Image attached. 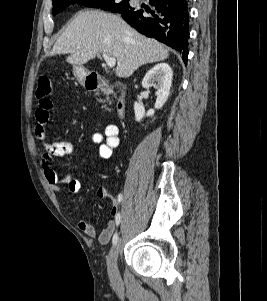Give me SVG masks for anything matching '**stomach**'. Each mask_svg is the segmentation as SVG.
Segmentation results:
<instances>
[{
    "label": "stomach",
    "instance_id": "1",
    "mask_svg": "<svg viewBox=\"0 0 267 301\" xmlns=\"http://www.w3.org/2000/svg\"><path fill=\"white\" fill-rule=\"evenodd\" d=\"M73 72H74V75L76 77V79L81 83L83 84L86 80V71L84 68L82 67H77L75 66L74 69H73Z\"/></svg>",
    "mask_w": 267,
    "mask_h": 301
}]
</instances>
